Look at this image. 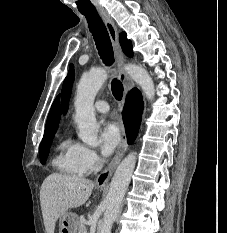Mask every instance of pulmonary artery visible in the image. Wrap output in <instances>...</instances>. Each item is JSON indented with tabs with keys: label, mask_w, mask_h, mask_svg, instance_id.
Returning <instances> with one entry per match:
<instances>
[{
	"label": "pulmonary artery",
	"mask_w": 227,
	"mask_h": 233,
	"mask_svg": "<svg viewBox=\"0 0 227 233\" xmlns=\"http://www.w3.org/2000/svg\"><path fill=\"white\" fill-rule=\"evenodd\" d=\"M95 110L98 113L106 114L109 111V104L106 101L99 100L95 103Z\"/></svg>",
	"instance_id": "e3ab8cb5"
}]
</instances>
